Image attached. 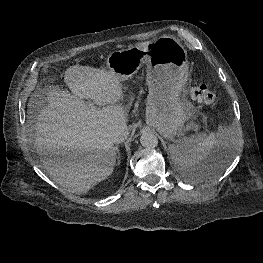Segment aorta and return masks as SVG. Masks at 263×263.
I'll use <instances>...</instances> for the list:
<instances>
[{
  "instance_id": "obj_1",
  "label": "aorta",
  "mask_w": 263,
  "mask_h": 263,
  "mask_svg": "<svg viewBox=\"0 0 263 263\" xmlns=\"http://www.w3.org/2000/svg\"><path fill=\"white\" fill-rule=\"evenodd\" d=\"M141 145L147 149H153L158 145V138L152 132H144L140 137Z\"/></svg>"
}]
</instances>
